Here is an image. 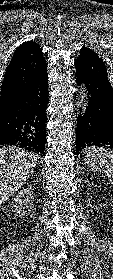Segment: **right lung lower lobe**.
Here are the masks:
<instances>
[{"instance_id": "right-lung-lower-lobe-1", "label": "right lung lower lobe", "mask_w": 113, "mask_h": 279, "mask_svg": "<svg viewBox=\"0 0 113 279\" xmlns=\"http://www.w3.org/2000/svg\"><path fill=\"white\" fill-rule=\"evenodd\" d=\"M47 103L45 68L0 111V145L19 146L44 155Z\"/></svg>"}]
</instances>
